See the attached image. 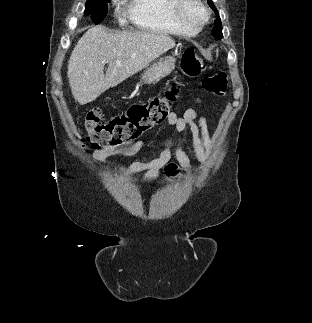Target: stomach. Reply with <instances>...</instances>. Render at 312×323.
I'll use <instances>...</instances> for the list:
<instances>
[{
  "label": "stomach",
  "instance_id": "stomach-1",
  "mask_svg": "<svg viewBox=\"0 0 312 323\" xmlns=\"http://www.w3.org/2000/svg\"><path fill=\"white\" fill-rule=\"evenodd\" d=\"M175 56H167V58H161L159 62H155L152 66H149L141 76V80H144V84H155L159 82L165 76H169L173 70H175Z\"/></svg>",
  "mask_w": 312,
  "mask_h": 323
}]
</instances>
